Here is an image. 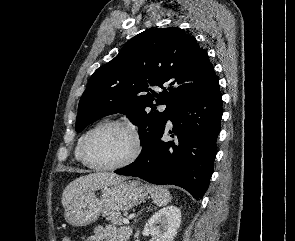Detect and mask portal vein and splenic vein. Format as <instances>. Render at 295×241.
Segmentation results:
<instances>
[{"mask_svg": "<svg viewBox=\"0 0 295 241\" xmlns=\"http://www.w3.org/2000/svg\"><path fill=\"white\" fill-rule=\"evenodd\" d=\"M123 223L124 224H129V219L128 218H123Z\"/></svg>", "mask_w": 295, "mask_h": 241, "instance_id": "18ae733b", "label": "portal vein and splenic vein"}]
</instances>
